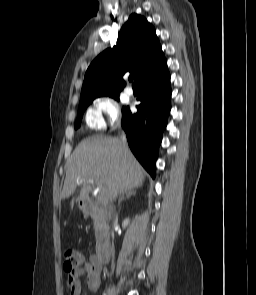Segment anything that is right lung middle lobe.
Instances as JSON below:
<instances>
[{
	"label": "right lung middle lobe",
	"mask_w": 256,
	"mask_h": 295,
	"mask_svg": "<svg viewBox=\"0 0 256 295\" xmlns=\"http://www.w3.org/2000/svg\"><path fill=\"white\" fill-rule=\"evenodd\" d=\"M118 96L119 95H115V96H110L113 97L115 99L118 100ZM95 99V97H87V98H81L80 99V103H79V108H78V116H77V120L75 123V128H79L80 124H81V120H82V116H83V112L85 111V109L87 108V106ZM124 108H122L123 110Z\"/></svg>",
	"instance_id": "1"
}]
</instances>
